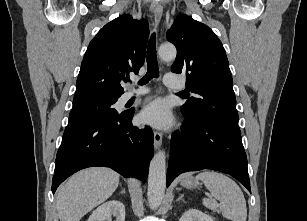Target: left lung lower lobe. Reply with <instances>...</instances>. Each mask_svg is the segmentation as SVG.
Listing matches in <instances>:
<instances>
[{"label": "left lung lower lobe", "instance_id": "left-lung-lower-lobe-1", "mask_svg": "<svg viewBox=\"0 0 307 221\" xmlns=\"http://www.w3.org/2000/svg\"><path fill=\"white\" fill-rule=\"evenodd\" d=\"M202 169L230 174L251 191L241 132L211 119L185 118L171 138L167 186L183 172Z\"/></svg>", "mask_w": 307, "mask_h": 221}]
</instances>
